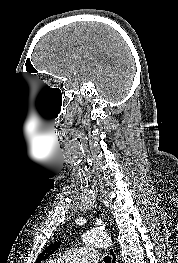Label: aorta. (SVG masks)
Returning a JSON list of instances; mask_svg holds the SVG:
<instances>
[{
  "label": "aorta",
  "instance_id": "aorta-1",
  "mask_svg": "<svg viewBox=\"0 0 178 263\" xmlns=\"http://www.w3.org/2000/svg\"><path fill=\"white\" fill-rule=\"evenodd\" d=\"M82 240L85 244L97 247H109L111 245V238L101 231H87L83 234Z\"/></svg>",
  "mask_w": 178,
  "mask_h": 263
}]
</instances>
